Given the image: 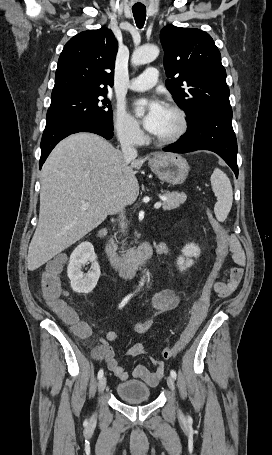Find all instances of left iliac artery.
Returning a JSON list of instances; mask_svg holds the SVG:
<instances>
[{
	"label": "left iliac artery",
	"mask_w": 272,
	"mask_h": 455,
	"mask_svg": "<svg viewBox=\"0 0 272 455\" xmlns=\"http://www.w3.org/2000/svg\"><path fill=\"white\" fill-rule=\"evenodd\" d=\"M170 374H171V376H172L174 379H175L176 376H177V374H176V372H175L174 370H171Z\"/></svg>",
	"instance_id": "1"
}]
</instances>
